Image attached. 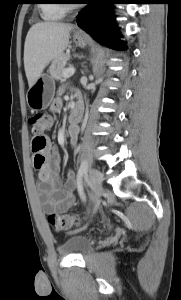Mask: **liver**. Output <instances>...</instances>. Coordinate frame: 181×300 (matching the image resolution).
Listing matches in <instances>:
<instances>
[{
    "instance_id": "6515ba94",
    "label": "liver",
    "mask_w": 181,
    "mask_h": 300,
    "mask_svg": "<svg viewBox=\"0 0 181 300\" xmlns=\"http://www.w3.org/2000/svg\"><path fill=\"white\" fill-rule=\"evenodd\" d=\"M72 29L71 24L56 22H39L29 29L24 45V68L29 88L51 61L63 55Z\"/></svg>"
}]
</instances>
